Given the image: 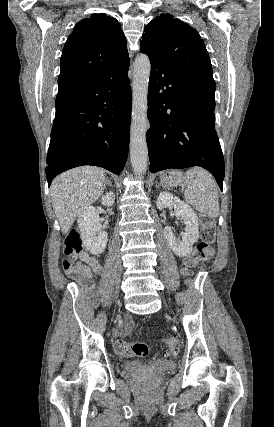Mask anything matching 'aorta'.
Here are the masks:
<instances>
[{"mask_svg": "<svg viewBox=\"0 0 274 427\" xmlns=\"http://www.w3.org/2000/svg\"><path fill=\"white\" fill-rule=\"evenodd\" d=\"M151 64L146 54H139L133 63L132 118L130 130V159L136 175L147 170L148 147L146 132L150 127L147 119L148 86Z\"/></svg>", "mask_w": 274, "mask_h": 427, "instance_id": "1", "label": "aorta"}]
</instances>
